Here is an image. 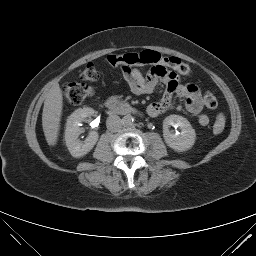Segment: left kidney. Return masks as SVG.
<instances>
[{
	"mask_svg": "<svg viewBox=\"0 0 256 256\" xmlns=\"http://www.w3.org/2000/svg\"><path fill=\"white\" fill-rule=\"evenodd\" d=\"M171 126L179 127L181 133L173 134L170 131ZM163 137L170 148L177 152H184L194 145L196 133L186 118L179 115H170L163 121Z\"/></svg>",
	"mask_w": 256,
	"mask_h": 256,
	"instance_id": "1",
	"label": "left kidney"
}]
</instances>
